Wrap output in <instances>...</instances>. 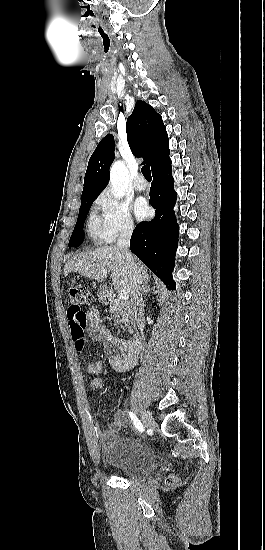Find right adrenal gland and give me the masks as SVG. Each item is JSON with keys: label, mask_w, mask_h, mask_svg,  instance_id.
<instances>
[{"label": "right adrenal gland", "mask_w": 265, "mask_h": 550, "mask_svg": "<svg viewBox=\"0 0 265 550\" xmlns=\"http://www.w3.org/2000/svg\"><path fill=\"white\" fill-rule=\"evenodd\" d=\"M150 290H152V288H150V285L148 284V282L144 283V284L141 286V289H140V300H141V302H143V304H144L143 295H144V293L150 292Z\"/></svg>", "instance_id": "1"}]
</instances>
